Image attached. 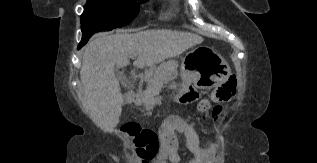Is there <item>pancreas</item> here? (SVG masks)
<instances>
[{
    "label": "pancreas",
    "instance_id": "obj_1",
    "mask_svg": "<svg viewBox=\"0 0 317 163\" xmlns=\"http://www.w3.org/2000/svg\"><path fill=\"white\" fill-rule=\"evenodd\" d=\"M178 62L169 60L158 68H152L147 72L145 80L147 88L143 91L142 99L146 107H150L156 101V96L161 92L164 83L174 80L178 76Z\"/></svg>",
    "mask_w": 317,
    "mask_h": 163
}]
</instances>
